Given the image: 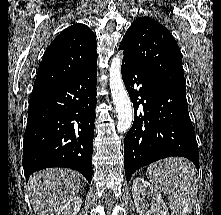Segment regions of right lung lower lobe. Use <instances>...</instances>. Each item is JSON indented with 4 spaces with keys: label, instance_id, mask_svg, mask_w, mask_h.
Instances as JSON below:
<instances>
[{
    "label": "right lung lower lobe",
    "instance_id": "1",
    "mask_svg": "<svg viewBox=\"0 0 221 215\" xmlns=\"http://www.w3.org/2000/svg\"><path fill=\"white\" fill-rule=\"evenodd\" d=\"M97 62L80 74L32 92L24 134L26 179L48 167H68L92 179Z\"/></svg>",
    "mask_w": 221,
    "mask_h": 215
}]
</instances>
